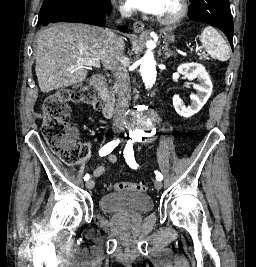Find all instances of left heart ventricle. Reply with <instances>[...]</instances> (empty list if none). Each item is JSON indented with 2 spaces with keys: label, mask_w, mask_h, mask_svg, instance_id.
Masks as SVG:
<instances>
[{
  "label": "left heart ventricle",
  "mask_w": 256,
  "mask_h": 267,
  "mask_svg": "<svg viewBox=\"0 0 256 267\" xmlns=\"http://www.w3.org/2000/svg\"><path fill=\"white\" fill-rule=\"evenodd\" d=\"M173 14H174V10L170 5L169 8L167 9V11L165 12V14L163 15L162 20L163 21H170L173 17Z\"/></svg>",
  "instance_id": "left-heart-ventricle-1"
}]
</instances>
